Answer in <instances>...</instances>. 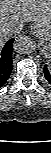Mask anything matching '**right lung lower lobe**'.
I'll return each instance as SVG.
<instances>
[{
    "mask_svg": "<svg viewBox=\"0 0 51 153\" xmlns=\"http://www.w3.org/2000/svg\"><path fill=\"white\" fill-rule=\"evenodd\" d=\"M14 39H10L5 46L0 47V87L5 84L12 72V47Z\"/></svg>",
    "mask_w": 51,
    "mask_h": 153,
    "instance_id": "obj_1",
    "label": "right lung lower lobe"
}]
</instances>
